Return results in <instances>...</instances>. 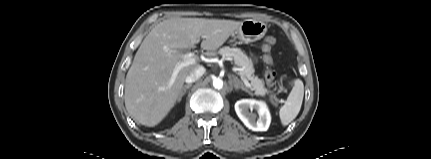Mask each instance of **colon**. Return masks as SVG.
Masks as SVG:
<instances>
[{"label": "colon", "mask_w": 431, "mask_h": 159, "mask_svg": "<svg viewBox=\"0 0 431 159\" xmlns=\"http://www.w3.org/2000/svg\"><path fill=\"white\" fill-rule=\"evenodd\" d=\"M275 43H276V39L273 36H268L264 40V44H263V51L265 52L264 61L269 65L273 64V58L270 54V51H271L272 46ZM265 79H266L267 83L270 86H272L274 83V80H275V72L271 69H268L265 72Z\"/></svg>", "instance_id": "1"}]
</instances>
